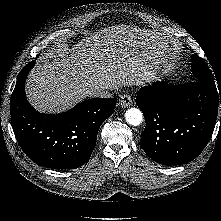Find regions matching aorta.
Masks as SVG:
<instances>
[{
  "label": "aorta",
  "mask_w": 221,
  "mask_h": 221,
  "mask_svg": "<svg viewBox=\"0 0 221 221\" xmlns=\"http://www.w3.org/2000/svg\"><path fill=\"white\" fill-rule=\"evenodd\" d=\"M126 121L132 126H138L142 123L143 115L137 108H129L125 113Z\"/></svg>",
  "instance_id": "1"
}]
</instances>
